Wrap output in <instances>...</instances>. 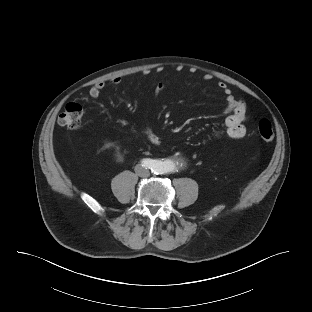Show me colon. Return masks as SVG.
Segmentation results:
<instances>
[{"instance_id":"5ec220e1","label":"colon","mask_w":312,"mask_h":312,"mask_svg":"<svg viewBox=\"0 0 312 312\" xmlns=\"http://www.w3.org/2000/svg\"><path fill=\"white\" fill-rule=\"evenodd\" d=\"M82 114V106L77 102H70L60 114L58 123L63 127L76 129L80 126ZM258 133L264 141H272L274 138V132L271 122L267 119H261L258 122Z\"/></svg>"}]
</instances>
